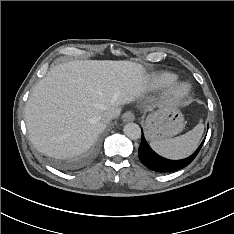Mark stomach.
Instances as JSON below:
<instances>
[{"mask_svg":"<svg viewBox=\"0 0 234 234\" xmlns=\"http://www.w3.org/2000/svg\"><path fill=\"white\" fill-rule=\"evenodd\" d=\"M144 126L149 140H166L182 131L184 117L173 105L161 106L146 117Z\"/></svg>","mask_w":234,"mask_h":234,"instance_id":"1","label":"stomach"}]
</instances>
